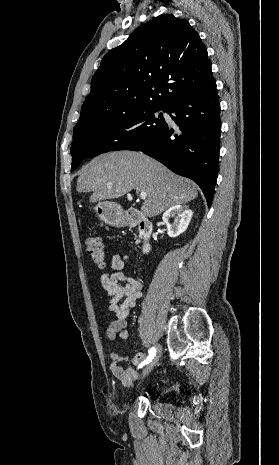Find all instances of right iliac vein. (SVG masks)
<instances>
[{
    "label": "right iliac vein",
    "instance_id": "1",
    "mask_svg": "<svg viewBox=\"0 0 279 465\" xmlns=\"http://www.w3.org/2000/svg\"><path fill=\"white\" fill-rule=\"evenodd\" d=\"M160 355H161L160 347L157 346V352H156L154 358L151 360V362L144 368V370L142 372V378L147 376L153 370V368L156 366V364L159 361Z\"/></svg>",
    "mask_w": 279,
    "mask_h": 465
}]
</instances>
